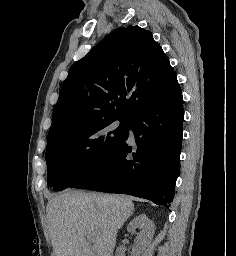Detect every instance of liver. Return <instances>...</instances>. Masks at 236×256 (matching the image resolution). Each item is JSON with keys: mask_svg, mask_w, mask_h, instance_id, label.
Here are the masks:
<instances>
[{"mask_svg": "<svg viewBox=\"0 0 236 256\" xmlns=\"http://www.w3.org/2000/svg\"><path fill=\"white\" fill-rule=\"evenodd\" d=\"M126 196L61 192L46 206L55 256H113L118 230L132 216Z\"/></svg>", "mask_w": 236, "mask_h": 256, "instance_id": "liver-1", "label": "liver"}]
</instances>
